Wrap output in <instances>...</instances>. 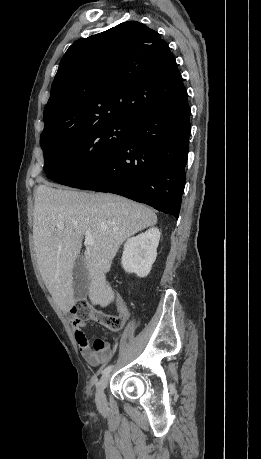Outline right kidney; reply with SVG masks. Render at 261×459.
<instances>
[{
  "mask_svg": "<svg viewBox=\"0 0 261 459\" xmlns=\"http://www.w3.org/2000/svg\"><path fill=\"white\" fill-rule=\"evenodd\" d=\"M160 235L159 229L150 228L126 241L121 261L126 272L135 273L138 277L149 274L157 257Z\"/></svg>",
  "mask_w": 261,
  "mask_h": 459,
  "instance_id": "obj_1",
  "label": "right kidney"
}]
</instances>
